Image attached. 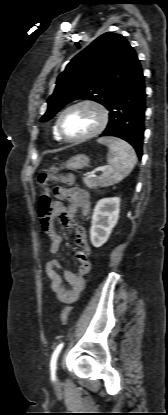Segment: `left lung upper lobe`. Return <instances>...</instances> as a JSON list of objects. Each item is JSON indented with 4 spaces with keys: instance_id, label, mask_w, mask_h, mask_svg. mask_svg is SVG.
<instances>
[{
    "instance_id": "left-lung-upper-lobe-1",
    "label": "left lung upper lobe",
    "mask_w": 168,
    "mask_h": 415,
    "mask_svg": "<svg viewBox=\"0 0 168 415\" xmlns=\"http://www.w3.org/2000/svg\"><path fill=\"white\" fill-rule=\"evenodd\" d=\"M139 63L135 50L120 34L105 33L77 54L58 76L41 122L50 120L63 106L89 99L108 107L116 92Z\"/></svg>"
}]
</instances>
